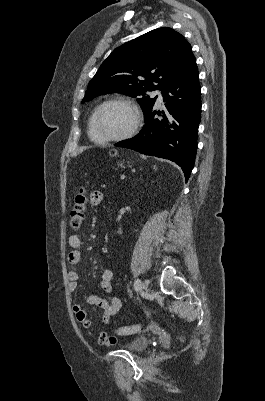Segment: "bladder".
<instances>
[{
    "mask_svg": "<svg viewBox=\"0 0 265 401\" xmlns=\"http://www.w3.org/2000/svg\"><path fill=\"white\" fill-rule=\"evenodd\" d=\"M151 345V340L147 337H136L133 341L126 344V349L133 352H141Z\"/></svg>",
    "mask_w": 265,
    "mask_h": 401,
    "instance_id": "obj_1",
    "label": "bladder"
}]
</instances>
